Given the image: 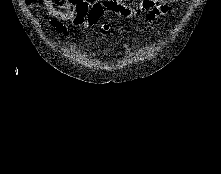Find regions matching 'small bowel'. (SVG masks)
Returning <instances> with one entry per match:
<instances>
[{
    "label": "small bowel",
    "instance_id": "c3829d8e",
    "mask_svg": "<svg viewBox=\"0 0 221 174\" xmlns=\"http://www.w3.org/2000/svg\"><path fill=\"white\" fill-rule=\"evenodd\" d=\"M179 0H140L130 5L128 0H42V7L52 17V23L65 30L62 22L71 21L77 28H86L96 24L104 11L125 18H134L146 14L148 23L155 21L168 11L167 4Z\"/></svg>",
    "mask_w": 221,
    "mask_h": 174
}]
</instances>
